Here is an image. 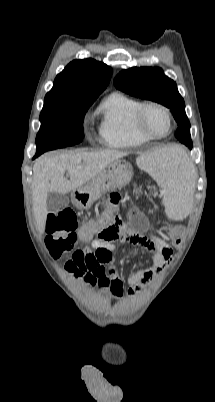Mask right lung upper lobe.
Here are the masks:
<instances>
[{"mask_svg": "<svg viewBox=\"0 0 215 402\" xmlns=\"http://www.w3.org/2000/svg\"><path fill=\"white\" fill-rule=\"evenodd\" d=\"M111 75L112 68L104 63L90 58L74 60L57 75L45 98H97Z\"/></svg>", "mask_w": 215, "mask_h": 402, "instance_id": "obj_1", "label": "right lung upper lobe"}]
</instances>
